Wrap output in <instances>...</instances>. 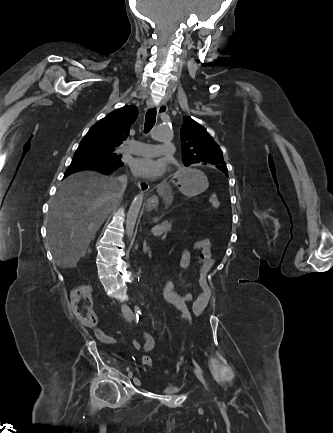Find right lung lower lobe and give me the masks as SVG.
Returning <instances> with one entry per match:
<instances>
[{"label": "right lung lower lobe", "instance_id": "right-lung-lower-lobe-1", "mask_svg": "<svg viewBox=\"0 0 333 433\" xmlns=\"http://www.w3.org/2000/svg\"><path fill=\"white\" fill-rule=\"evenodd\" d=\"M123 166V162L117 164H111L96 160H88V159H72V162L70 166L68 167L67 171L64 174V177H67L68 175L84 169H94L98 170L103 174H110L114 170H117L118 168Z\"/></svg>", "mask_w": 333, "mask_h": 433}]
</instances>
